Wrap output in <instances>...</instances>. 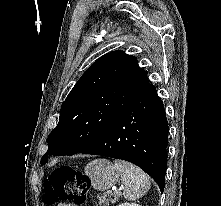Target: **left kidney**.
I'll use <instances>...</instances> for the list:
<instances>
[{
  "label": "left kidney",
  "mask_w": 221,
  "mask_h": 206,
  "mask_svg": "<svg viewBox=\"0 0 221 206\" xmlns=\"http://www.w3.org/2000/svg\"><path fill=\"white\" fill-rule=\"evenodd\" d=\"M118 206H141V205L136 204V203H128V202H126V203L119 204Z\"/></svg>",
  "instance_id": "left-kidney-1"
}]
</instances>
